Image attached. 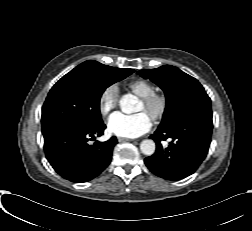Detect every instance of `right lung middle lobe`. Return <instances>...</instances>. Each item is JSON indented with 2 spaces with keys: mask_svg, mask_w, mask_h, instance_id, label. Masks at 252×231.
Instances as JSON below:
<instances>
[{
  "mask_svg": "<svg viewBox=\"0 0 252 231\" xmlns=\"http://www.w3.org/2000/svg\"><path fill=\"white\" fill-rule=\"evenodd\" d=\"M134 72L89 60L63 76L50 90L42 108V134L61 127L93 128L102 123L104 90Z\"/></svg>",
  "mask_w": 252,
  "mask_h": 231,
  "instance_id": "dd1d6c3e",
  "label": "right lung middle lobe"
}]
</instances>
